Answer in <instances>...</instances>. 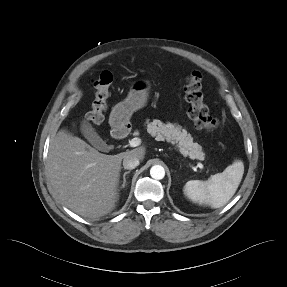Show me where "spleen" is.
<instances>
[{"instance_id": "1", "label": "spleen", "mask_w": 287, "mask_h": 287, "mask_svg": "<svg viewBox=\"0 0 287 287\" xmlns=\"http://www.w3.org/2000/svg\"><path fill=\"white\" fill-rule=\"evenodd\" d=\"M243 174V162L235 160L222 173L215 174L206 181H188L184 186V193L194 203L220 208L235 194Z\"/></svg>"}]
</instances>
